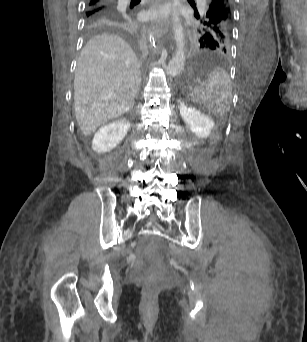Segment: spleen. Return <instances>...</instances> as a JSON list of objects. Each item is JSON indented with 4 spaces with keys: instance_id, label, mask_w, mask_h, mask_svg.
<instances>
[{
    "instance_id": "spleen-1",
    "label": "spleen",
    "mask_w": 307,
    "mask_h": 342,
    "mask_svg": "<svg viewBox=\"0 0 307 342\" xmlns=\"http://www.w3.org/2000/svg\"><path fill=\"white\" fill-rule=\"evenodd\" d=\"M193 100L204 104V109L211 114H227L232 100V88L229 74L224 68H215L209 74L204 90L200 83L194 84Z\"/></svg>"
}]
</instances>
